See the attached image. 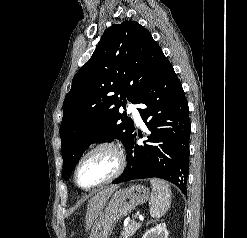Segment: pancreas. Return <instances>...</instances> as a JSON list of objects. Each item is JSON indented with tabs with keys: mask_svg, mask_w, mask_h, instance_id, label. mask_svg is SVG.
Masks as SVG:
<instances>
[{
	"mask_svg": "<svg viewBox=\"0 0 247 238\" xmlns=\"http://www.w3.org/2000/svg\"><path fill=\"white\" fill-rule=\"evenodd\" d=\"M140 227L141 223H137L134 220L129 221V223L123 227V230L121 232L122 238L132 237Z\"/></svg>",
	"mask_w": 247,
	"mask_h": 238,
	"instance_id": "obj_1",
	"label": "pancreas"
}]
</instances>
